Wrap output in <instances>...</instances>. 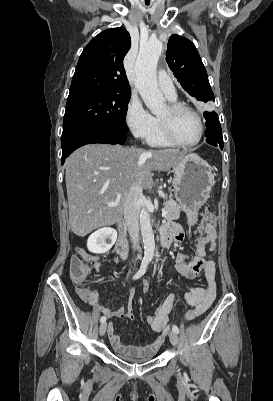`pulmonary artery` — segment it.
<instances>
[{
	"instance_id": "obj_1",
	"label": "pulmonary artery",
	"mask_w": 273,
	"mask_h": 401,
	"mask_svg": "<svg viewBox=\"0 0 273 401\" xmlns=\"http://www.w3.org/2000/svg\"><path fill=\"white\" fill-rule=\"evenodd\" d=\"M159 74L161 75L160 80L162 83H160V86H163L161 90L164 92V94L169 98L173 99L176 97V82L172 80V77L170 74H167V71L165 69H161L159 71Z\"/></svg>"
}]
</instances>
